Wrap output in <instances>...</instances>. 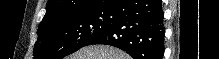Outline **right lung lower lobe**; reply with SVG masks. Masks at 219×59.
Instances as JSON below:
<instances>
[{
	"mask_svg": "<svg viewBox=\"0 0 219 59\" xmlns=\"http://www.w3.org/2000/svg\"><path fill=\"white\" fill-rule=\"evenodd\" d=\"M163 19L161 0H118L111 25L87 45L115 46L134 59H162Z\"/></svg>",
	"mask_w": 219,
	"mask_h": 59,
	"instance_id": "98d812e1",
	"label": "right lung lower lobe"
}]
</instances>
